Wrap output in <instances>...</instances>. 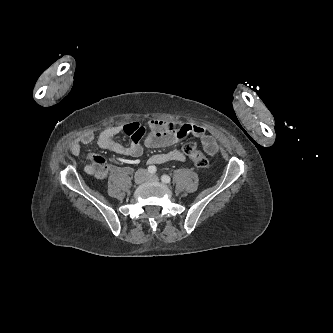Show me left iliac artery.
Wrapping results in <instances>:
<instances>
[{"label": "left iliac artery", "mask_w": 333, "mask_h": 333, "mask_svg": "<svg viewBox=\"0 0 333 333\" xmlns=\"http://www.w3.org/2000/svg\"><path fill=\"white\" fill-rule=\"evenodd\" d=\"M161 180H162V182H164V183H170L171 178H170L168 175H163V176L161 177Z\"/></svg>", "instance_id": "1"}]
</instances>
